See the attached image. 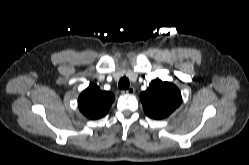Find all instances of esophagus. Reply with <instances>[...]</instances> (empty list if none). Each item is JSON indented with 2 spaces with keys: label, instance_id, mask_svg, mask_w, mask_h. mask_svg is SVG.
Wrapping results in <instances>:
<instances>
[{
  "label": "esophagus",
  "instance_id": "34e87169",
  "mask_svg": "<svg viewBox=\"0 0 249 165\" xmlns=\"http://www.w3.org/2000/svg\"><path fill=\"white\" fill-rule=\"evenodd\" d=\"M124 94H134L135 93V88L134 87H130L127 90L123 91Z\"/></svg>",
  "mask_w": 249,
  "mask_h": 165
}]
</instances>
